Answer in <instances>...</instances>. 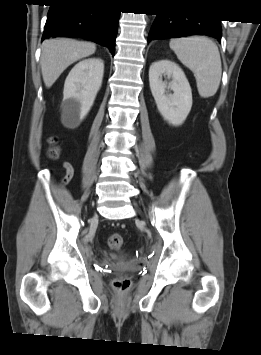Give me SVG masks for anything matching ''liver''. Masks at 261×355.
<instances>
[{"mask_svg": "<svg viewBox=\"0 0 261 355\" xmlns=\"http://www.w3.org/2000/svg\"><path fill=\"white\" fill-rule=\"evenodd\" d=\"M95 50V44L90 42L65 38L44 41L40 64L45 86L50 88L69 65L92 55Z\"/></svg>", "mask_w": 261, "mask_h": 355, "instance_id": "6515ba94", "label": "liver"}]
</instances>
